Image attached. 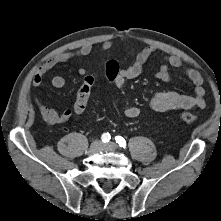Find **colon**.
<instances>
[{
	"mask_svg": "<svg viewBox=\"0 0 221 221\" xmlns=\"http://www.w3.org/2000/svg\"><path fill=\"white\" fill-rule=\"evenodd\" d=\"M104 67L105 72L102 76L103 80L109 84L113 83L118 78V75L120 73V66L118 64V61L113 58L107 59L105 61ZM94 81L95 79L92 75H87L83 79V83L77 92V97L74 105V111L76 114H80L85 110ZM179 118L184 124H192L197 121L198 116L194 113L185 111L180 114Z\"/></svg>",
	"mask_w": 221,
	"mask_h": 221,
	"instance_id": "obj_1",
	"label": "colon"
}]
</instances>
